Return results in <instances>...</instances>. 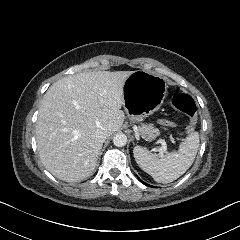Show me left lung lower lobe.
Wrapping results in <instances>:
<instances>
[{"mask_svg":"<svg viewBox=\"0 0 240 240\" xmlns=\"http://www.w3.org/2000/svg\"><path fill=\"white\" fill-rule=\"evenodd\" d=\"M139 179V181H141L142 183H144L140 178H138ZM144 184H146V183H144ZM147 185V184H146Z\"/></svg>","mask_w":240,"mask_h":240,"instance_id":"1","label":"left lung lower lobe"}]
</instances>
